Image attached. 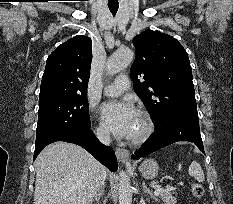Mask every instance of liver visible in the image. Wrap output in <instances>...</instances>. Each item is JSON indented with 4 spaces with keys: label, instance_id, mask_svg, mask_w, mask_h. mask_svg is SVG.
<instances>
[{
    "label": "liver",
    "instance_id": "1",
    "mask_svg": "<svg viewBox=\"0 0 233 204\" xmlns=\"http://www.w3.org/2000/svg\"><path fill=\"white\" fill-rule=\"evenodd\" d=\"M34 204H90L107 169L78 145L55 142L36 159Z\"/></svg>",
    "mask_w": 233,
    "mask_h": 204
}]
</instances>
